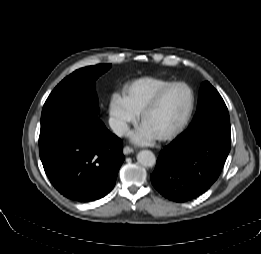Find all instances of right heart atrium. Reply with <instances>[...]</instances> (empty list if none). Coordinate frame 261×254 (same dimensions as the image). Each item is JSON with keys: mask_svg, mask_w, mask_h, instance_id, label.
Instances as JSON below:
<instances>
[{"mask_svg": "<svg viewBox=\"0 0 261 254\" xmlns=\"http://www.w3.org/2000/svg\"><path fill=\"white\" fill-rule=\"evenodd\" d=\"M137 115L125 94L113 95L110 103V117L113 129L117 134H125L129 125L136 121Z\"/></svg>", "mask_w": 261, "mask_h": 254, "instance_id": "obj_1", "label": "right heart atrium"}]
</instances>
